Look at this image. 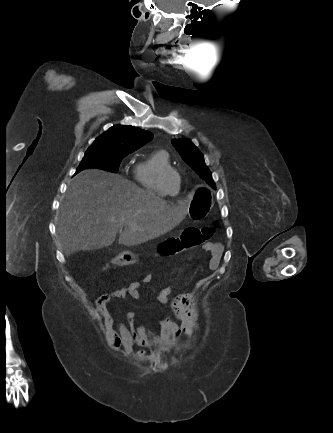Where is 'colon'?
<instances>
[{"mask_svg":"<svg viewBox=\"0 0 333 433\" xmlns=\"http://www.w3.org/2000/svg\"><path fill=\"white\" fill-rule=\"evenodd\" d=\"M215 227L216 223L212 226L188 227L182 232L181 236H162L161 240L157 241V247L152 245L150 250L155 252L158 248L160 253H164L170 258L180 250L193 248L210 240L215 232ZM124 254L125 256L112 258L107 267L118 268L125 266L130 269L133 266L136 254L140 255V252L136 253L135 249H126Z\"/></svg>","mask_w":333,"mask_h":433,"instance_id":"obj_1","label":"colon"}]
</instances>
